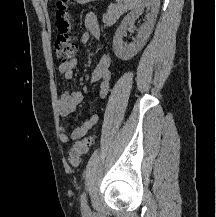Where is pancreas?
I'll return each instance as SVG.
<instances>
[{
	"label": "pancreas",
	"instance_id": "pancreas-1",
	"mask_svg": "<svg viewBox=\"0 0 216 217\" xmlns=\"http://www.w3.org/2000/svg\"><path fill=\"white\" fill-rule=\"evenodd\" d=\"M121 1L122 0H116L117 4H111L108 7L107 13L103 15L102 21L105 27L112 26L125 12V6Z\"/></svg>",
	"mask_w": 216,
	"mask_h": 217
}]
</instances>
